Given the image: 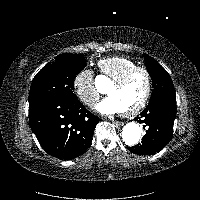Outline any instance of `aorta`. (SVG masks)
I'll use <instances>...</instances> for the list:
<instances>
[{
	"label": "aorta",
	"instance_id": "762f6f07",
	"mask_svg": "<svg viewBox=\"0 0 200 200\" xmlns=\"http://www.w3.org/2000/svg\"><path fill=\"white\" fill-rule=\"evenodd\" d=\"M141 137V128L135 122L127 123L122 130V139L128 146L136 145Z\"/></svg>",
	"mask_w": 200,
	"mask_h": 200
}]
</instances>
